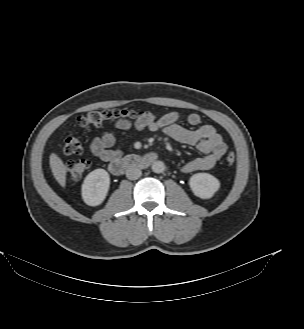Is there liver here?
Returning a JSON list of instances; mask_svg holds the SVG:
<instances>
[{
  "label": "liver",
  "instance_id": "liver-1",
  "mask_svg": "<svg viewBox=\"0 0 304 329\" xmlns=\"http://www.w3.org/2000/svg\"><path fill=\"white\" fill-rule=\"evenodd\" d=\"M49 164L56 181L60 184V186L65 187L67 166L63 163L62 159L59 158L55 153H51L49 158Z\"/></svg>",
  "mask_w": 304,
  "mask_h": 329
}]
</instances>
